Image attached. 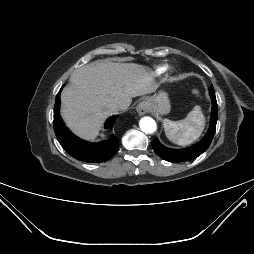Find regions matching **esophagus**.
I'll use <instances>...</instances> for the list:
<instances>
[{
    "mask_svg": "<svg viewBox=\"0 0 254 254\" xmlns=\"http://www.w3.org/2000/svg\"><path fill=\"white\" fill-rule=\"evenodd\" d=\"M136 110L140 115H144L149 112L150 104L148 103V101L143 100L137 105Z\"/></svg>",
    "mask_w": 254,
    "mask_h": 254,
    "instance_id": "obj_1",
    "label": "esophagus"
}]
</instances>
